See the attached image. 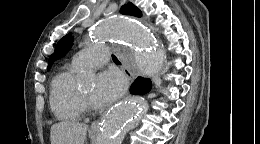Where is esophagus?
Here are the masks:
<instances>
[{
	"label": "esophagus",
	"mask_w": 260,
	"mask_h": 144,
	"mask_svg": "<svg viewBox=\"0 0 260 144\" xmlns=\"http://www.w3.org/2000/svg\"><path fill=\"white\" fill-rule=\"evenodd\" d=\"M122 70L125 74V76L129 79V80H134L135 75L126 67V65L123 63L122 64ZM98 129V122H95L91 125V130L92 131H97Z\"/></svg>",
	"instance_id": "34e87169"
}]
</instances>
